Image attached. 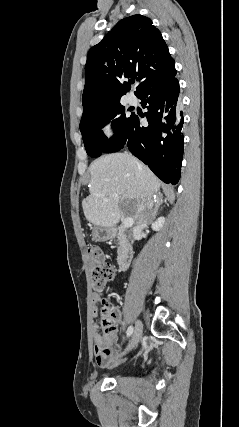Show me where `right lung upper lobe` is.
I'll use <instances>...</instances> for the list:
<instances>
[{
	"label": "right lung upper lobe",
	"mask_w": 239,
	"mask_h": 427,
	"mask_svg": "<svg viewBox=\"0 0 239 427\" xmlns=\"http://www.w3.org/2000/svg\"><path fill=\"white\" fill-rule=\"evenodd\" d=\"M174 72V59L152 21L139 14L124 18L88 52L82 116L99 105L120 101L132 79L139 82L138 96Z\"/></svg>",
	"instance_id": "cb5924a9"
}]
</instances>
